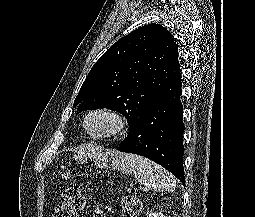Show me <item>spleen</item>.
I'll use <instances>...</instances> for the list:
<instances>
[{"label":"spleen","instance_id":"1","mask_svg":"<svg viewBox=\"0 0 255 217\" xmlns=\"http://www.w3.org/2000/svg\"><path fill=\"white\" fill-rule=\"evenodd\" d=\"M112 166L122 172H133L142 185L155 192H173L176 180L173 175L148 160L133 154H119L112 160Z\"/></svg>","mask_w":255,"mask_h":217}]
</instances>
